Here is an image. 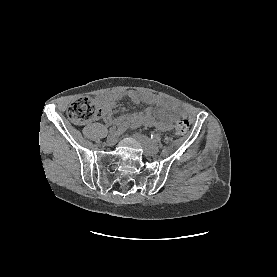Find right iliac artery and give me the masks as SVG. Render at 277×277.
I'll use <instances>...</instances> for the list:
<instances>
[{
    "label": "right iliac artery",
    "mask_w": 277,
    "mask_h": 277,
    "mask_svg": "<svg viewBox=\"0 0 277 277\" xmlns=\"http://www.w3.org/2000/svg\"><path fill=\"white\" fill-rule=\"evenodd\" d=\"M129 127V123L124 122L122 124H119V126L117 128H113L110 130V133L112 132H118V133H122L124 132L127 128Z\"/></svg>",
    "instance_id": "right-iliac-artery-1"
}]
</instances>
